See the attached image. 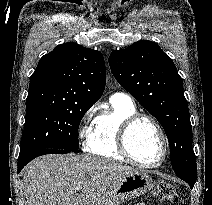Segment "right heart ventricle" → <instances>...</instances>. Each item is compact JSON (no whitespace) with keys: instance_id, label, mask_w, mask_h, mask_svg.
<instances>
[{"instance_id":"1","label":"right heart ventricle","mask_w":212,"mask_h":205,"mask_svg":"<svg viewBox=\"0 0 212 205\" xmlns=\"http://www.w3.org/2000/svg\"><path fill=\"white\" fill-rule=\"evenodd\" d=\"M112 108L101 112L94 120L86 139L85 150L91 155L115 161H126L117 147V133L121 123L137 113L135 104L121 98L110 99Z\"/></svg>"}]
</instances>
